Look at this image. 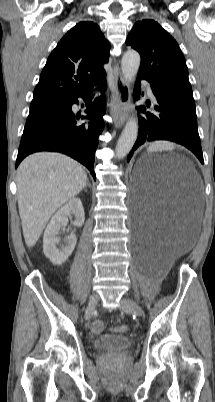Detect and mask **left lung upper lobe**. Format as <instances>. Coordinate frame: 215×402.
Listing matches in <instances>:
<instances>
[{"mask_svg":"<svg viewBox=\"0 0 215 402\" xmlns=\"http://www.w3.org/2000/svg\"><path fill=\"white\" fill-rule=\"evenodd\" d=\"M126 44L141 56L138 76L167 95L195 106L185 58L166 30L154 20L143 19L134 24Z\"/></svg>","mask_w":215,"mask_h":402,"instance_id":"left-lung-upper-lobe-1","label":"left lung upper lobe"}]
</instances>
